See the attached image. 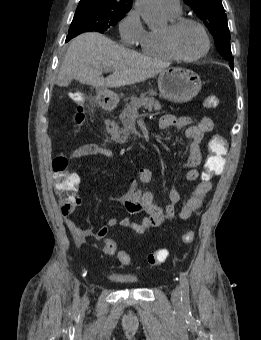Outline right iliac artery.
Here are the masks:
<instances>
[{
  "label": "right iliac artery",
  "instance_id": "1",
  "mask_svg": "<svg viewBox=\"0 0 261 340\" xmlns=\"http://www.w3.org/2000/svg\"><path fill=\"white\" fill-rule=\"evenodd\" d=\"M79 305V299H77L76 301H75V306H78Z\"/></svg>",
  "mask_w": 261,
  "mask_h": 340
}]
</instances>
